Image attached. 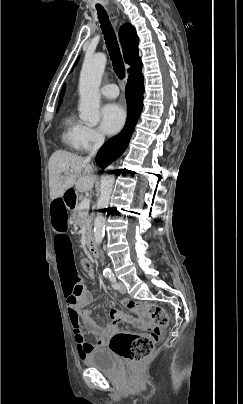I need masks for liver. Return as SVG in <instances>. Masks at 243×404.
<instances>
[{
  "label": "liver",
  "mask_w": 243,
  "mask_h": 404,
  "mask_svg": "<svg viewBox=\"0 0 243 404\" xmlns=\"http://www.w3.org/2000/svg\"><path fill=\"white\" fill-rule=\"evenodd\" d=\"M48 168L51 200L62 198L66 190L73 186H76L78 192H91L94 186L95 176L91 174L93 170L89 160L75 156L71 152H64V150L54 152L49 160Z\"/></svg>",
  "instance_id": "1"
}]
</instances>
